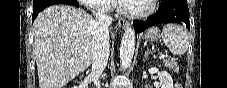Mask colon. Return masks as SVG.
Wrapping results in <instances>:
<instances>
[{
	"label": "colon",
	"mask_w": 227,
	"mask_h": 88,
	"mask_svg": "<svg viewBox=\"0 0 227 88\" xmlns=\"http://www.w3.org/2000/svg\"><path fill=\"white\" fill-rule=\"evenodd\" d=\"M175 88H181L179 85H176Z\"/></svg>",
	"instance_id": "1"
}]
</instances>
